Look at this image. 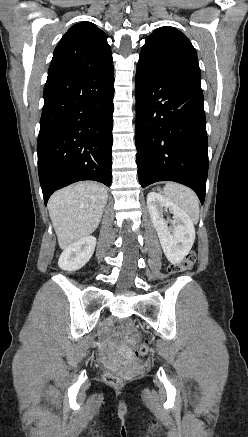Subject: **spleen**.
Here are the masks:
<instances>
[{"mask_svg": "<svg viewBox=\"0 0 248 437\" xmlns=\"http://www.w3.org/2000/svg\"><path fill=\"white\" fill-rule=\"evenodd\" d=\"M165 197L180 207L193 222L199 220V200L197 195L186 186L167 183L163 191Z\"/></svg>", "mask_w": 248, "mask_h": 437, "instance_id": "obj_1", "label": "spleen"}]
</instances>
